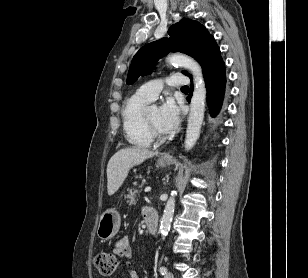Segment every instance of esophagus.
I'll return each instance as SVG.
<instances>
[{
	"label": "esophagus",
	"instance_id": "esophagus-1",
	"mask_svg": "<svg viewBox=\"0 0 308 278\" xmlns=\"http://www.w3.org/2000/svg\"><path fill=\"white\" fill-rule=\"evenodd\" d=\"M174 149V148H173ZM172 150H169L167 152H164L162 155H161V159L162 160H170L172 158Z\"/></svg>",
	"mask_w": 308,
	"mask_h": 278
}]
</instances>
